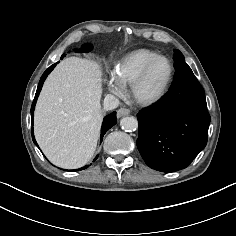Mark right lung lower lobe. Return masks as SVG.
Instances as JSON below:
<instances>
[{"instance_id":"right-lung-lower-lobe-1","label":"right lung lower lobe","mask_w":236,"mask_h":236,"mask_svg":"<svg viewBox=\"0 0 236 236\" xmlns=\"http://www.w3.org/2000/svg\"><path fill=\"white\" fill-rule=\"evenodd\" d=\"M92 50V45L90 44H84L82 46V48L79 50V52H89ZM65 57V54H63L61 56V59H63ZM58 63V62H57ZM53 64L51 65L42 75L40 81H39V85H38V88H37V91H36V94H35V98H34V101L32 103V106H31V116H32V124H33V116H34V108H35V104H36V101H37V98L39 96V93L41 91V88H42V85L46 79V77L48 76V74L54 69V67L56 66V64ZM117 122H116V112H113L109 115H107L104 120H103V124H102V129H101V141L103 140V136L104 134L113 126L115 125ZM32 139H33V142L37 145L36 141H35V138H34V135H33V131H32ZM98 156H96V158L94 160L97 159ZM88 166H84L83 168H80L79 170H83V169H86ZM77 171V170H76Z\"/></svg>"}]
</instances>
